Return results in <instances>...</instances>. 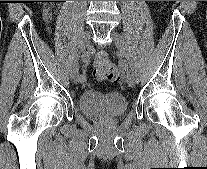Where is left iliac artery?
Here are the masks:
<instances>
[{"instance_id":"1","label":"left iliac artery","mask_w":207,"mask_h":169,"mask_svg":"<svg viewBox=\"0 0 207 169\" xmlns=\"http://www.w3.org/2000/svg\"><path fill=\"white\" fill-rule=\"evenodd\" d=\"M119 72H125V74L138 75L135 65L131 62L128 65V61H126V59H120Z\"/></svg>"}]
</instances>
